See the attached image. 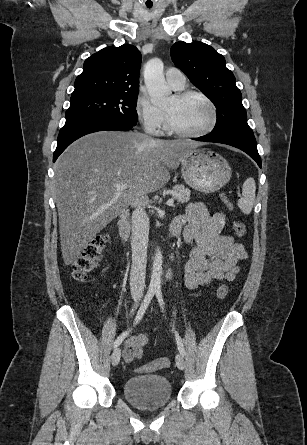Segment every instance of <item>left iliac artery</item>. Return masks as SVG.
<instances>
[{
    "label": "left iliac artery",
    "instance_id": "obj_1",
    "mask_svg": "<svg viewBox=\"0 0 307 445\" xmlns=\"http://www.w3.org/2000/svg\"><path fill=\"white\" fill-rule=\"evenodd\" d=\"M155 293H156V297H157V299H158L159 305H160L162 311L165 313V309H164L165 306H164V301H163V297H162V292H161L160 289H157V290L155 291ZM172 330H173L174 333H175V338H176V342H177V347H178V350H179L180 354L185 355V349H184L182 340H181V338H180L178 332L175 330L174 326H172Z\"/></svg>",
    "mask_w": 307,
    "mask_h": 445
}]
</instances>
